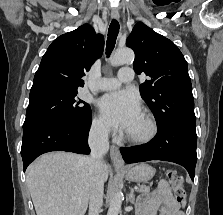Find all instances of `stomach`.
<instances>
[{"mask_svg": "<svg viewBox=\"0 0 223 215\" xmlns=\"http://www.w3.org/2000/svg\"><path fill=\"white\" fill-rule=\"evenodd\" d=\"M121 171L126 173V179L129 181H148L155 173L154 167L148 165V163H139L134 167H122Z\"/></svg>", "mask_w": 223, "mask_h": 215, "instance_id": "obj_1", "label": "stomach"}]
</instances>
